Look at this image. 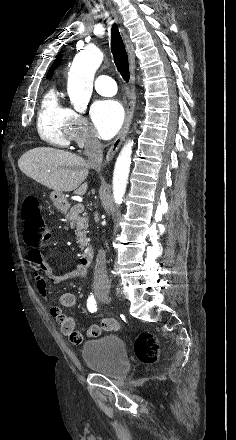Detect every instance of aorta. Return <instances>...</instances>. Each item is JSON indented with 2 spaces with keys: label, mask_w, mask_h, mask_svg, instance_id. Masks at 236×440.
I'll return each instance as SVG.
<instances>
[{
  "label": "aorta",
  "mask_w": 236,
  "mask_h": 440,
  "mask_svg": "<svg viewBox=\"0 0 236 440\" xmlns=\"http://www.w3.org/2000/svg\"><path fill=\"white\" fill-rule=\"evenodd\" d=\"M103 60L102 52L89 46L79 52L68 73L67 91L74 109L83 112L90 101L96 70ZM133 141L129 140L119 153L113 173V195L116 204H121L126 191L131 165Z\"/></svg>",
  "instance_id": "1"
}]
</instances>
